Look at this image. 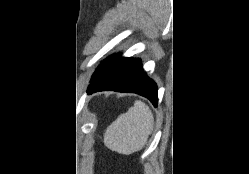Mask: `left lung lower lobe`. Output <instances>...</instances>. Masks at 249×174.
<instances>
[{"mask_svg": "<svg viewBox=\"0 0 249 174\" xmlns=\"http://www.w3.org/2000/svg\"><path fill=\"white\" fill-rule=\"evenodd\" d=\"M105 90L137 93L157 106L156 83L147 77L141 61L136 58H123L121 54L114 55L97 74L92 76L88 93Z\"/></svg>", "mask_w": 249, "mask_h": 174, "instance_id": "left-lung-lower-lobe-1", "label": "left lung lower lobe"}]
</instances>
